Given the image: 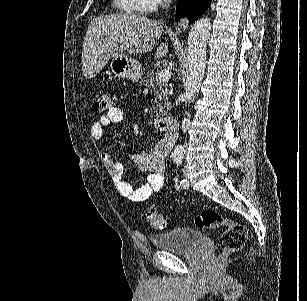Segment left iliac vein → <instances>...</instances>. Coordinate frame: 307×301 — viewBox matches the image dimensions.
Masks as SVG:
<instances>
[{
  "label": "left iliac vein",
  "mask_w": 307,
  "mask_h": 301,
  "mask_svg": "<svg viewBox=\"0 0 307 301\" xmlns=\"http://www.w3.org/2000/svg\"><path fill=\"white\" fill-rule=\"evenodd\" d=\"M183 174H184L186 179H189V171H188V167L187 166L183 167ZM188 187H189V183L187 184L186 188H188Z\"/></svg>",
  "instance_id": "left-iliac-vein-1"
}]
</instances>
